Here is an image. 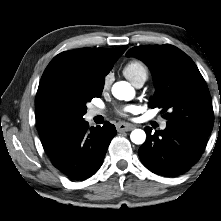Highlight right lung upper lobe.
Returning a JSON list of instances; mask_svg holds the SVG:
<instances>
[{
    "instance_id": "1",
    "label": "right lung upper lobe",
    "mask_w": 221,
    "mask_h": 221,
    "mask_svg": "<svg viewBox=\"0 0 221 221\" xmlns=\"http://www.w3.org/2000/svg\"><path fill=\"white\" fill-rule=\"evenodd\" d=\"M127 46L118 48H80L65 51L56 55L46 67L39 88L50 80L73 72L77 69H84L91 76L93 84L104 82L105 76L111 70L116 60L125 52ZM38 88V89H39ZM37 127L41 142L46 153H49L58 141L66 135L51 129L42 119L41 113L36 107Z\"/></svg>"
}]
</instances>
